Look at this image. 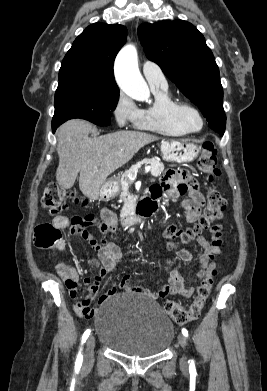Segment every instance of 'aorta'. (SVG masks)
<instances>
[{
  "mask_svg": "<svg viewBox=\"0 0 267 391\" xmlns=\"http://www.w3.org/2000/svg\"><path fill=\"white\" fill-rule=\"evenodd\" d=\"M115 77L121 90L137 101H148L150 91L138 68V54L134 45L124 46L115 60Z\"/></svg>",
  "mask_w": 267,
  "mask_h": 391,
  "instance_id": "aorta-1",
  "label": "aorta"
}]
</instances>
